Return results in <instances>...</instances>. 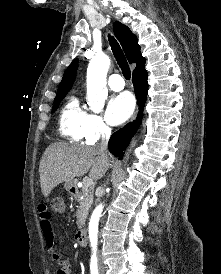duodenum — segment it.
<instances>
[{"label": "duodenum", "mask_w": 221, "mask_h": 274, "mask_svg": "<svg viewBox=\"0 0 221 274\" xmlns=\"http://www.w3.org/2000/svg\"><path fill=\"white\" fill-rule=\"evenodd\" d=\"M73 193L76 194L77 191L73 190ZM76 241L80 246H86L87 244V230L81 228L76 234Z\"/></svg>", "instance_id": "duodenum-1"}]
</instances>
